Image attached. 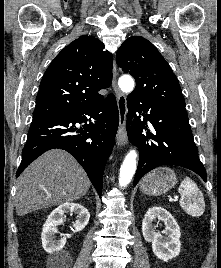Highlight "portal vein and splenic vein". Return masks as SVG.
I'll use <instances>...</instances> for the list:
<instances>
[{"label":"portal vein and splenic vein","instance_id":"1","mask_svg":"<svg viewBox=\"0 0 221 268\" xmlns=\"http://www.w3.org/2000/svg\"><path fill=\"white\" fill-rule=\"evenodd\" d=\"M175 199H178V197H175ZM170 201H175L174 199L170 198Z\"/></svg>","mask_w":221,"mask_h":268}]
</instances>
